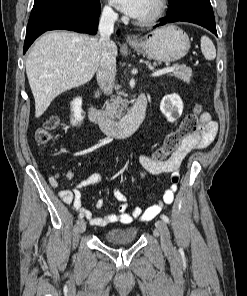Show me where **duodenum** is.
I'll return each mask as SVG.
<instances>
[{
	"instance_id": "1",
	"label": "duodenum",
	"mask_w": 247,
	"mask_h": 296,
	"mask_svg": "<svg viewBox=\"0 0 247 296\" xmlns=\"http://www.w3.org/2000/svg\"><path fill=\"white\" fill-rule=\"evenodd\" d=\"M148 105V96L140 94L127 115L120 119H114L98 109L94 105L88 108V114L92 121L101 129L114 137L124 138L133 135L141 127L145 111Z\"/></svg>"
}]
</instances>
